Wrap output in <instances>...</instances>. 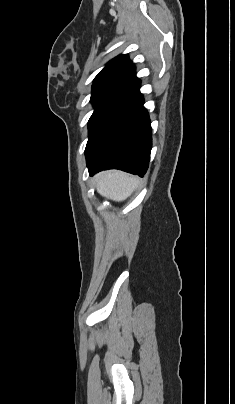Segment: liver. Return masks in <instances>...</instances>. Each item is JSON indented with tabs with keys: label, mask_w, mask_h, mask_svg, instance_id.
I'll list each match as a JSON object with an SVG mask.
<instances>
[{
	"label": "liver",
	"mask_w": 235,
	"mask_h": 404,
	"mask_svg": "<svg viewBox=\"0 0 235 404\" xmlns=\"http://www.w3.org/2000/svg\"><path fill=\"white\" fill-rule=\"evenodd\" d=\"M97 192L116 202L126 200L139 186L140 179L122 171L101 172L94 177Z\"/></svg>",
	"instance_id": "6515ba94"
}]
</instances>
